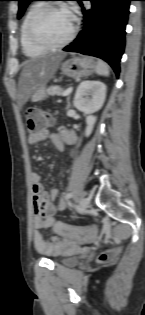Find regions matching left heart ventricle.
I'll return each instance as SVG.
<instances>
[{
	"label": "left heart ventricle",
	"mask_w": 145,
	"mask_h": 315,
	"mask_svg": "<svg viewBox=\"0 0 145 315\" xmlns=\"http://www.w3.org/2000/svg\"><path fill=\"white\" fill-rule=\"evenodd\" d=\"M73 15L67 10H52L38 21L36 33L46 42L57 43L64 40L71 31Z\"/></svg>",
	"instance_id": "b2bd125f"
}]
</instances>
